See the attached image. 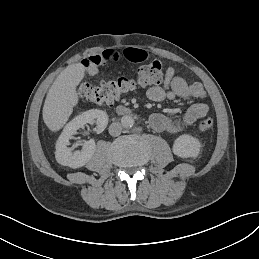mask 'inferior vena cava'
Segmentation results:
<instances>
[{"instance_id": "obj_1", "label": "inferior vena cava", "mask_w": 259, "mask_h": 259, "mask_svg": "<svg viewBox=\"0 0 259 259\" xmlns=\"http://www.w3.org/2000/svg\"><path fill=\"white\" fill-rule=\"evenodd\" d=\"M122 132V126L118 122H114L109 126V134L111 136H119Z\"/></svg>"}]
</instances>
